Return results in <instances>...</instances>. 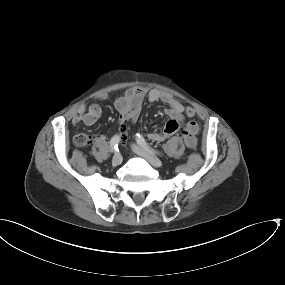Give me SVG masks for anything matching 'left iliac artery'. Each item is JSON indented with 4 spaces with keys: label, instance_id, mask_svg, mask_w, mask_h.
<instances>
[{
    "label": "left iliac artery",
    "instance_id": "left-iliac-artery-1",
    "mask_svg": "<svg viewBox=\"0 0 285 285\" xmlns=\"http://www.w3.org/2000/svg\"><path fill=\"white\" fill-rule=\"evenodd\" d=\"M136 141L139 145L147 148L148 150H150L151 152L153 153H156V154H160L159 151L155 150L154 148H152L146 141L145 139L140 135V134H137L136 135Z\"/></svg>",
    "mask_w": 285,
    "mask_h": 285
}]
</instances>
